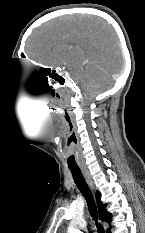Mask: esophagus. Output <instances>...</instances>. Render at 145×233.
I'll use <instances>...</instances> for the list:
<instances>
[{
	"label": "esophagus",
	"instance_id": "obj_1",
	"mask_svg": "<svg viewBox=\"0 0 145 233\" xmlns=\"http://www.w3.org/2000/svg\"><path fill=\"white\" fill-rule=\"evenodd\" d=\"M82 173L84 175V178L86 179V182L88 183V185L90 186V188L92 190H94V185H93V181L89 175V172L86 169H82Z\"/></svg>",
	"mask_w": 145,
	"mask_h": 233
}]
</instances>
